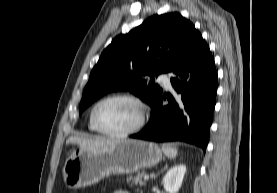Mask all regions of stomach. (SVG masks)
<instances>
[{
	"instance_id": "stomach-1",
	"label": "stomach",
	"mask_w": 277,
	"mask_h": 193,
	"mask_svg": "<svg viewBox=\"0 0 277 193\" xmlns=\"http://www.w3.org/2000/svg\"><path fill=\"white\" fill-rule=\"evenodd\" d=\"M161 158L158 145L143 140L119 139L104 148L79 147L64 164V183L70 189L91 186L110 175L152 167Z\"/></svg>"
}]
</instances>
